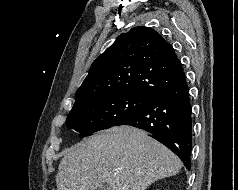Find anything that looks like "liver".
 Masks as SVG:
<instances>
[{
	"label": "liver",
	"instance_id": "1",
	"mask_svg": "<svg viewBox=\"0 0 238 190\" xmlns=\"http://www.w3.org/2000/svg\"><path fill=\"white\" fill-rule=\"evenodd\" d=\"M180 159L167 147L131 127H112L64 152L58 190H146L160 179L179 173Z\"/></svg>",
	"mask_w": 238,
	"mask_h": 190
}]
</instances>
